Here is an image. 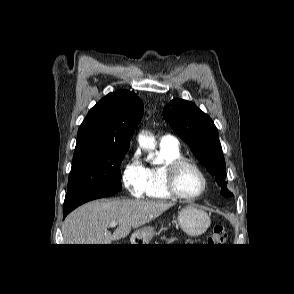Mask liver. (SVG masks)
Wrapping results in <instances>:
<instances>
[{
  "label": "liver",
  "instance_id": "liver-1",
  "mask_svg": "<svg viewBox=\"0 0 294 294\" xmlns=\"http://www.w3.org/2000/svg\"><path fill=\"white\" fill-rule=\"evenodd\" d=\"M173 203L145 200L91 201L70 213L63 225L65 244H111L126 237L132 228H138L160 216ZM118 227L113 234L110 223Z\"/></svg>",
  "mask_w": 294,
  "mask_h": 294
}]
</instances>
